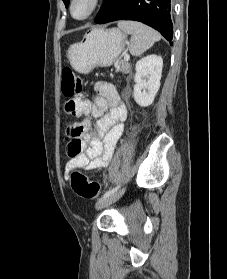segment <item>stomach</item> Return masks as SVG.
Listing matches in <instances>:
<instances>
[{
	"label": "stomach",
	"instance_id": "0dacf381",
	"mask_svg": "<svg viewBox=\"0 0 227 279\" xmlns=\"http://www.w3.org/2000/svg\"><path fill=\"white\" fill-rule=\"evenodd\" d=\"M126 36L117 28L88 31L81 42L68 47L67 57L79 73H90L96 67H109L124 51Z\"/></svg>",
	"mask_w": 227,
	"mask_h": 279
}]
</instances>
